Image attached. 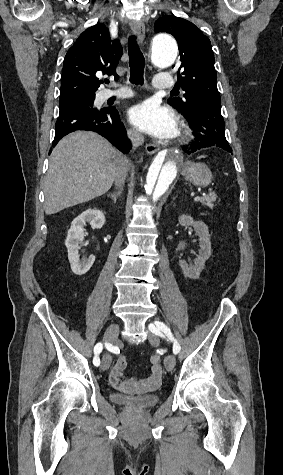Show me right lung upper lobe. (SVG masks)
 Listing matches in <instances>:
<instances>
[{"mask_svg":"<svg viewBox=\"0 0 283 475\" xmlns=\"http://www.w3.org/2000/svg\"><path fill=\"white\" fill-rule=\"evenodd\" d=\"M122 56L119 40H111L108 28L98 23L86 29L68 50L61 79V90L76 89L95 93L102 81L96 73L116 74Z\"/></svg>","mask_w":283,"mask_h":475,"instance_id":"1","label":"right lung upper lobe"}]
</instances>
